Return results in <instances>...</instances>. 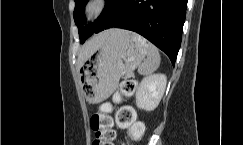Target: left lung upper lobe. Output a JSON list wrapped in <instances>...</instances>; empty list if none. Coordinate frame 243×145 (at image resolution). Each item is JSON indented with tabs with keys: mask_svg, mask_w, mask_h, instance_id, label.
<instances>
[{
	"mask_svg": "<svg viewBox=\"0 0 243 145\" xmlns=\"http://www.w3.org/2000/svg\"><path fill=\"white\" fill-rule=\"evenodd\" d=\"M88 0H75V9H74V21L75 24L78 26L79 30V38L80 43H84L85 40L91 35V28L90 25L87 27H83L82 24L86 22L85 16H84V8L87 4ZM123 2V0H106L105 9L102 13L106 12L109 13L117 9V7Z\"/></svg>",
	"mask_w": 243,
	"mask_h": 145,
	"instance_id": "1",
	"label": "left lung upper lobe"
}]
</instances>
